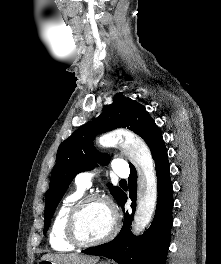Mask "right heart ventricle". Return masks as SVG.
Listing matches in <instances>:
<instances>
[{
	"label": "right heart ventricle",
	"instance_id": "1",
	"mask_svg": "<svg viewBox=\"0 0 221 264\" xmlns=\"http://www.w3.org/2000/svg\"><path fill=\"white\" fill-rule=\"evenodd\" d=\"M83 192L84 190L77 187L62 200L56 212L49 235L50 245L56 251L66 252L75 249V246L66 237L65 223L70 208L83 196Z\"/></svg>",
	"mask_w": 221,
	"mask_h": 264
}]
</instances>
